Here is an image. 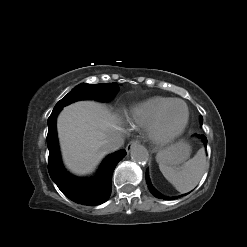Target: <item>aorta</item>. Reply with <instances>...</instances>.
<instances>
[{
	"mask_svg": "<svg viewBox=\"0 0 247 247\" xmlns=\"http://www.w3.org/2000/svg\"><path fill=\"white\" fill-rule=\"evenodd\" d=\"M131 159L136 164L144 165L148 161V153L144 147L137 145L131 151Z\"/></svg>",
	"mask_w": 247,
	"mask_h": 247,
	"instance_id": "obj_1",
	"label": "aorta"
}]
</instances>
